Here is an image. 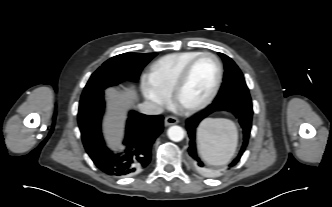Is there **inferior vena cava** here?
<instances>
[{
	"label": "inferior vena cava",
	"mask_w": 332,
	"mask_h": 207,
	"mask_svg": "<svg viewBox=\"0 0 332 207\" xmlns=\"http://www.w3.org/2000/svg\"><path fill=\"white\" fill-rule=\"evenodd\" d=\"M138 109L141 113L146 115H158L163 113V108L150 101H145L138 105Z\"/></svg>",
	"instance_id": "602c4592"
}]
</instances>
